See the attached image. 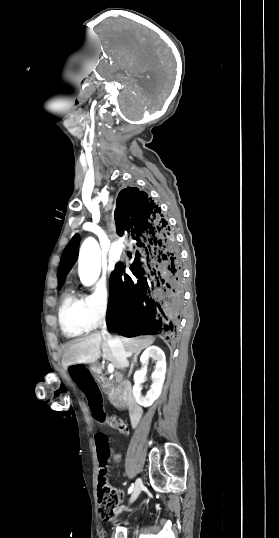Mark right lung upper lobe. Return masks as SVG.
Returning a JSON list of instances; mask_svg holds the SVG:
<instances>
[{
  "label": "right lung upper lobe",
  "mask_w": 279,
  "mask_h": 538,
  "mask_svg": "<svg viewBox=\"0 0 279 538\" xmlns=\"http://www.w3.org/2000/svg\"><path fill=\"white\" fill-rule=\"evenodd\" d=\"M125 334H127V335H131V334H134V333H125Z\"/></svg>",
  "instance_id": "obj_1"
}]
</instances>
